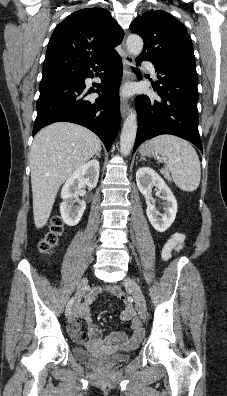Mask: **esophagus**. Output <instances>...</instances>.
Masks as SVG:
<instances>
[{"label":"esophagus","instance_id":"34e87169","mask_svg":"<svg viewBox=\"0 0 227 396\" xmlns=\"http://www.w3.org/2000/svg\"><path fill=\"white\" fill-rule=\"evenodd\" d=\"M122 44L124 46V40H123ZM133 64H134L133 56L126 52L125 56L123 58V73H124L123 79H124V81H127L132 78L131 66H133ZM120 111H121L122 118H125L129 111V103L127 102L126 99L121 100Z\"/></svg>","mask_w":227,"mask_h":396}]
</instances>
